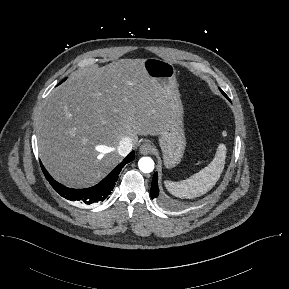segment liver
<instances>
[{
	"label": "liver",
	"instance_id": "1",
	"mask_svg": "<svg viewBox=\"0 0 289 289\" xmlns=\"http://www.w3.org/2000/svg\"><path fill=\"white\" fill-rule=\"evenodd\" d=\"M169 116L168 100L144 59L86 68L46 98L36 118L39 156L58 182L90 187L121 162L122 138L136 145L139 135H160Z\"/></svg>",
	"mask_w": 289,
	"mask_h": 289
}]
</instances>
